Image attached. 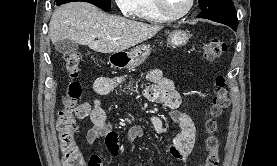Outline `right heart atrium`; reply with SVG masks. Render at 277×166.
Wrapping results in <instances>:
<instances>
[{"label": "right heart atrium", "mask_w": 277, "mask_h": 166, "mask_svg": "<svg viewBox=\"0 0 277 166\" xmlns=\"http://www.w3.org/2000/svg\"><path fill=\"white\" fill-rule=\"evenodd\" d=\"M135 0H115L116 5L122 13L129 15L134 8Z\"/></svg>", "instance_id": "right-heart-atrium-1"}]
</instances>
